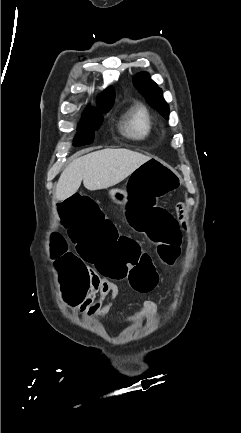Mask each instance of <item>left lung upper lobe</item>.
<instances>
[{
  "mask_svg": "<svg viewBox=\"0 0 241 433\" xmlns=\"http://www.w3.org/2000/svg\"><path fill=\"white\" fill-rule=\"evenodd\" d=\"M134 84L147 101L166 118L169 117V107L166 104L162 90L152 81L147 73H141L134 77Z\"/></svg>",
  "mask_w": 241,
  "mask_h": 433,
  "instance_id": "obj_1",
  "label": "left lung upper lobe"
}]
</instances>
